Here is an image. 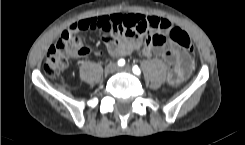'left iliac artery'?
<instances>
[{"mask_svg":"<svg viewBox=\"0 0 245 145\" xmlns=\"http://www.w3.org/2000/svg\"><path fill=\"white\" fill-rule=\"evenodd\" d=\"M132 71L134 74L139 75L141 74V70L139 69V67L137 65H134L132 68Z\"/></svg>","mask_w":245,"mask_h":145,"instance_id":"1","label":"left iliac artery"}]
</instances>
